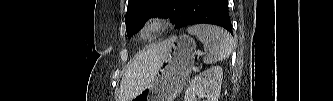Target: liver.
<instances>
[{"label":"liver","mask_w":333,"mask_h":101,"mask_svg":"<svg viewBox=\"0 0 333 101\" xmlns=\"http://www.w3.org/2000/svg\"><path fill=\"white\" fill-rule=\"evenodd\" d=\"M167 50L166 41L138 53L130 62L120 84L119 101H131L156 75Z\"/></svg>","instance_id":"6515ba94"}]
</instances>
